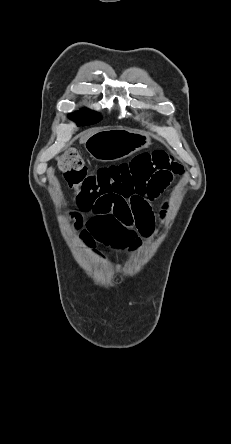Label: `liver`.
<instances>
[{
  "instance_id": "obj_1",
  "label": "liver",
  "mask_w": 231,
  "mask_h": 444,
  "mask_svg": "<svg viewBox=\"0 0 231 444\" xmlns=\"http://www.w3.org/2000/svg\"><path fill=\"white\" fill-rule=\"evenodd\" d=\"M96 132H98L97 129H92V130L87 131L86 133H83V134L81 135V138H80V143H85L86 140H87L90 136H92L93 134H95Z\"/></svg>"
}]
</instances>
